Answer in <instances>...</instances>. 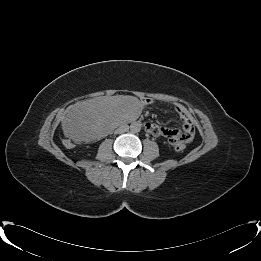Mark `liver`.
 Segmentation results:
<instances>
[{"mask_svg": "<svg viewBox=\"0 0 261 261\" xmlns=\"http://www.w3.org/2000/svg\"><path fill=\"white\" fill-rule=\"evenodd\" d=\"M140 103L132 96L98 97L78 102L71 110L62 127L67 137L75 142L102 137L118 125L124 109L140 113Z\"/></svg>", "mask_w": 261, "mask_h": 261, "instance_id": "obj_1", "label": "liver"}]
</instances>
